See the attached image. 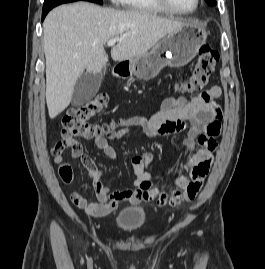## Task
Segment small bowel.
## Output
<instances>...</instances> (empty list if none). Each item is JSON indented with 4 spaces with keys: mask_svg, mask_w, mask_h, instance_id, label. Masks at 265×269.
<instances>
[{
    "mask_svg": "<svg viewBox=\"0 0 265 269\" xmlns=\"http://www.w3.org/2000/svg\"><path fill=\"white\" fill-rule=\"evenodd\" d=\"M220 95V87L212 86L190 100L184 97L166 98L160 110L150 119L138 118L130 121L118 119L116 122L119 123L121 130L95 136L94 144L107 158L115 160L117 154L110 140L121 139L136 128L142 129L150 137L186 132L185 147L189 152H193L189 163L190 180L179 176L175 179V183L185 192L191 186L200 189L209 173L217 148L216 136L208 134V129L214 121H218L220 125L222 112L215 103V99ZM71 152L72 156L86 168L96 193V202H89L80 192L71 194L72 203L87 214L102 217L110 214L121 204L137 205L142 201L151 200L149 191L152 178L147 169L153 159L152 153L143 152L132 158L135 172L134 188L111 191L101 181L103 171L83 153L82 146L77 141L73 143Z\"/></svg>",
    "mask_w": 265,
    "mask_h": 269,
    "instance_id": "obj_1",
    "label": "small bowel"
}]
</instances>
